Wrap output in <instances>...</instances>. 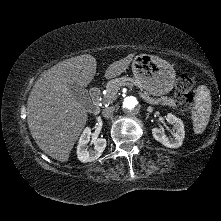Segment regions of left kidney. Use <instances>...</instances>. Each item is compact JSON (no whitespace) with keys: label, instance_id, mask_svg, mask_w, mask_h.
I'll use <instances>...</instances> for the list:
<instances>
[{"label":"left kidney","instance_id":"obj_1","mask_svg":"<svg viewBox=\"0 0 221 221\" xmlns=\"http://www.w3.org/2000/svg\"><path fill=\"white\" fill-rule=\"evenodd\" d=\"M167 122L173 125V139H169L160 128H153L152 135L155 138V140L162 143L164 146L168 148H178L182 145L185 137L184 124L181 119H179L171 113L167 115Z\"/></svg>","mask_w":221,"mask_h":221}]
</instances>
